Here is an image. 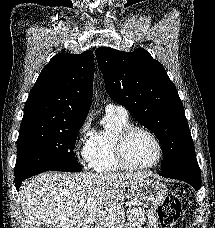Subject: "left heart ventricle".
<instances>
[{
	"mask_svg": "<svg viewBox=\"0 0 215 228\" xmlns=\"http://www.w3.org/2000/svg\"><path fill=\"white\" fill-rule=\"evenodd\" d=\"M126 155L132 165L141 166L154 161L157 150L148 134L135 131L126 143Z\"/></svg>",
	"mask_w": 215,
	"mask_h": 228,
	"instance_id": "1",
	"label": "left heart ventricle"
}]
</instances>
